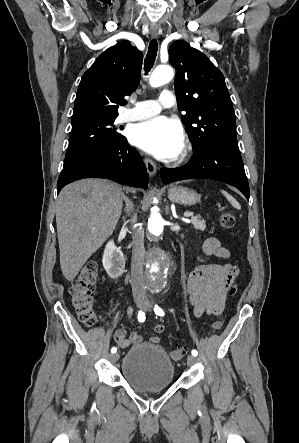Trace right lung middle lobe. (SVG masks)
<instances>
[{
    "label": "right lung middle lobe",
    "instance_id": "right-lung-middle-lobe-1",
    "mask_svg": "<svg viewBox=\"0 0 299 443\" xmlns=\"http://www.w3.org/2000/svg\"><path fill=\"white\" fill-rule=\"evenodd\" d=\"M116 117L88 118L72 123L63 168L98 150L109 148L125 137L118 132Z\"/></svg>",
    "mask_w": 299,
    "mask_h": 443
}]
</instances>
